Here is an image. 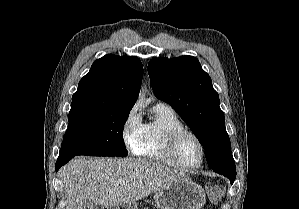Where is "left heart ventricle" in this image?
<instances>
[{"label": "left heart ventricle", "mask_w": 299, "mask_h": 209, "mask_svg": "<svg viewBox=\"0 0 299 209\" xmlns=\"http://www.w3.org/2000/svg\"><path fill=\"white\" fill-rule=\"evenodd\" d=\"M178 159L186 166H196L201 160V148L191 136H184L178 146Z\"/></svg>", "instance_id": "1"}]
</instances>
